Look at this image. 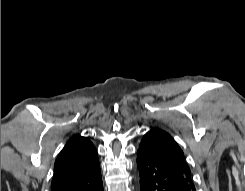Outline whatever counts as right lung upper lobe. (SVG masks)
Instances as JSON below:
<instances>
[{"label": "right lung upper lobe", "mask_w": 245, "mask_h": 191, "mask_svg": "<svg viewBox=\"0 0 245 191\" xmlns=\"http://www.w3.org/2000/svg\"><path fill=\"white\" fill-rule=\"evenodd\" d=\"M99 167L97 150L92 142L76 135L66 143L55 161L51 191L86 177Z\"/></svg>", "instance_id": "1"}]
</instances>
